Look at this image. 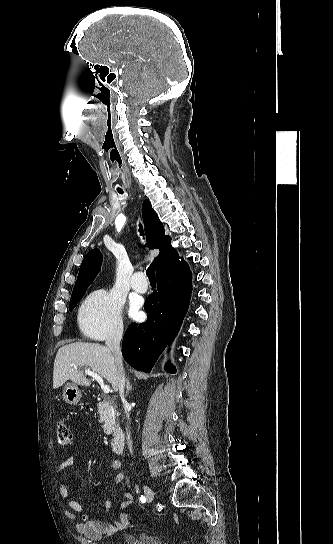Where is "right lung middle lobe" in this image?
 <instances>
[{
	"mask_svg": "<svg viewBox=\"0 0 333 544\" xmlns=\"http://www.w3.org/2000/svg\"><path fill=\"white\" fill-rule=\"evenodd\" d=\"M85 294V291L83 292H79V293H76V294H73L71 296V299H70V305H69V310L72 311L74 309V307L77 305V303L81 300V298L83 297V295Z\"/></svg>",
	"mask_w": 333,
	"mask_h": 544,
	"instance_id": "dd1d6c3e",
	"label": "right lung middle lobe"
}]
</instances>
